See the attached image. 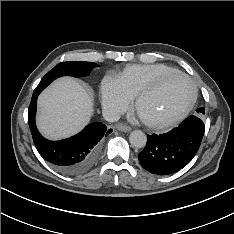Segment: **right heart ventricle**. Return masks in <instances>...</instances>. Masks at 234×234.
Masks as SVG:
<instances>
[{"label":"right heart ventricle","instance_id":"obj_1","mask_svg":"<svg viewBox=\"0 0 234 234\" xmlns=\"http://www.w3.org/2000/svg\"><path fill=\"white\" fill-rule=\"evenodd\" d=\"M178 71L165 64H135L125 67L116 75V80L122 91L130 98L164 74Z\"/></svg>","mask_w":234,"mask_h":234}]
</instances>
